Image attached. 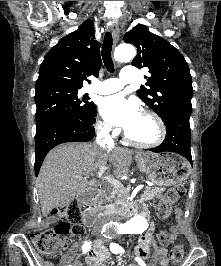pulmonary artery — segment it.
<instances>
[{
    "label": "pulmonary artery",
    "mask_w": 221,
    "mask_h": 266,
    "mask_svg": "<svg viewBox=\"0 0 221 266\" xmlns=\"http://www.w3.org/2000/svg\"><path fill=\"white\" fill-rule=\"evenodd\" d=\"M137 69L135 66H124L120 78L104 79L91 87V91L101 95H107L120 91L125 84L136 81Z\"/></svg>",
    "instance_id": "1"
}]
</instances>
